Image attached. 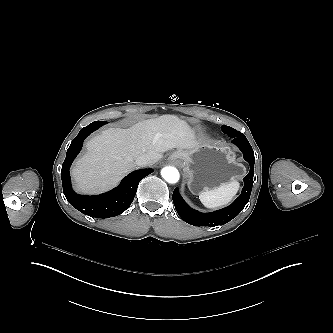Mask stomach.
Returning <instances> with one entry per match:
<instances>
[{
	"label": "stomach",
	"mask_w": 333,
	"mask_h": 333,
	"mask_svg": "<svg viewBox=\"0 0 333 333\" xmlns=\"http://www.w3.org/2000/svg\"><path fill=\"white\" fill-rule=\"evenodd\" d=\"M171 155L182 168L188 188L193 194L219 186L220 183L238 180L243 165L236 162L229 147L200 144L191 151L176 150Z\"/></svg>",
	"instance_id": "1"
}]
</instances>
